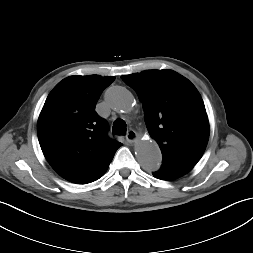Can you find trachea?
Masks as SVG:
<instances>
[{
  "label": "trachea",
  "instance_id": "3493384b",
  "mask_svg": "<svg viewBox=\"0 0 253 253\" xmlns=\"http://www.w3.org/2000/svg\"><path fill=\"white\" fill-rule=\"evenodd\" d=\"M126 123L122 119H117L115 120L113 127H112V132L115 135H125L126 134Z\"/></svg>",
  "mask_w": 253,
  "mask_h": 253
}]
</instances>
